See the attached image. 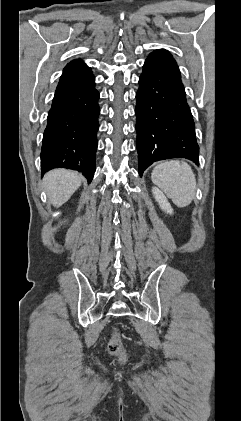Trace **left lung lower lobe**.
<instances>
[{
  "mask_svg": "<svg viewBox=\"0 0 241 421\" xmlns=\"http://www.w3.org/2000/svg\"><path fill=\"white\" fill-rule=\"evenodd\" d=\"M136 100L140 176L158 160L183 157L199 163L195 124L181 74L167 50H155L146 59Z\"/></svg>",
  "mask_w": 241,
  "mask_h": 421,
  "instance_id": "obj_1",
  "label": "left lung lower lobe"
}]
</instances>
